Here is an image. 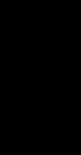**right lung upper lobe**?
I'll return each instance as SVG.
<instances>
[{"label": "right lung upper lobe", "mask_w": 81, "mask_h": 155, "mask_svg": "<svg viewBox=\"0 0 81 155\" xmlns=\"http://www.w3.org/2000/svg\"><path fill=\"white\" fill-rule=\"evenodd\" d=\"M36 48L18 41H4L0 48V119L4 125L22 117L35 101L36 93L26 74Z\"/></svg>", "instance_id": "cb5924a9"}]
</instances>
